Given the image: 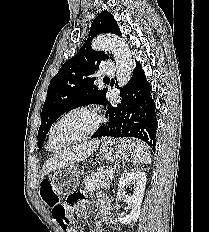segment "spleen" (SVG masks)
<instances>
[{"label":"spleen","instance_id":"3e777b00","mask_svg":"<svg viewBox=\"0 0 209 232\" xmlns=\"http://www.w3.org/2000/svg\"><path fill=\"white\" fill-rule=\"evenodd\" d=\"M132 162L150 164L151 156L149 152V147L142 141H137V145L134 153L131 155Z\"/></svg>","mask_w":209,"mask_h":232}]
</instances>
